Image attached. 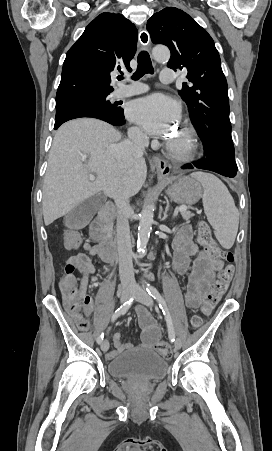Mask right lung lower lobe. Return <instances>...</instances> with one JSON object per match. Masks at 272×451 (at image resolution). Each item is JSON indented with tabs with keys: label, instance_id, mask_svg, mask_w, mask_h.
<instances>
[{
	"label": "right lung lower lobe",
	"instance_id": "obj_1",
	"mask_svg": "<svg viewBox=\"0 0 272 451\" xmlns=\"http://www.w3.org/2000/svg\"><path fill=\"white\" fill-rule=\"evenodd\" d=\"M81 117H92V118H97L103 121H106L112 125H123L125 123L124 120V112L122 114L119 115L118 118H113V117H107L104 115H100L94 112H88V111H80V112H74L71 114H68L62 118L56 119L55 125H54V129H58V127L63 124L64 122L71 120V119H75V118H81Z\"/></svg>",
	"mask_w": 272,
	"mask_h": 451
}]
</instances>
